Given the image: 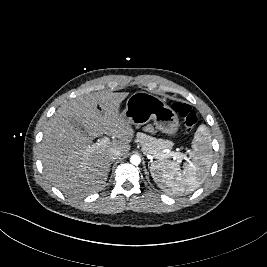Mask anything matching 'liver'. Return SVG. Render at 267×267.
I'll return each mask as SVG.
<instances>
[{
    "instance_id": "1",
    "label": "liver",
    "mask_w": 267,
    "mask_h": 267,
    "mask_svg": "<svg viewBox=\"0 0 267 267\" xmlns=\"http://www.w3.org/2000/svg\"><path fill=\"white\" fill-rule=\"evenodd\" d=\"M128 92H101L78 96L62 104L49 119L40 146V158L47 179L67 195L90 194L100 190L109 172V151H130L134 136L131 123L119 112ZM102 111L98 109V106ZM74 123L83 127L75 128ZM102 134L113 140L88 150Z\"/></svg>"
}]
</instances>
